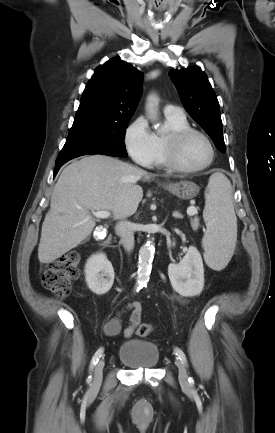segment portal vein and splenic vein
<instances>
[{
	"label": "portal vein and splenic vein",
	"instance_id": "obj_1",
	"mask_svg": "<svg viewBox=\"0 0 275 433\" xmlns=\"http://www.w3.org/2000/svg\"><path fill=\"white\" fill-rule=\"evenodd\" d=\"M92 214L96 218H100V219H107L111 215L109 211H96V212H92ZM187 214L188 216H194L195 214H197V209L194 206H190L187 209Z\"/></svg>",
	"mask_w": 275,
	"mask_h": 433
}]
</instances>
